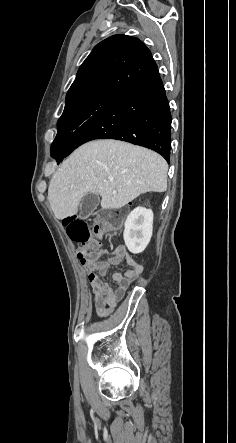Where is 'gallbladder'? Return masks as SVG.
Here are the masks:
<instances>
[{
	"mask_svg": "<svg viewBox=\"0 0 236 443\" xmlns=\"http://www.w3.org/2000/svg\"><path fill=\"white\" fill-rule=\"evenodd\" d=\"M100 202V197L96 193H87L80 204V216L81 218L89 217L93 211L97 208Z\"/></svg>",
	"mask_w": 236,
	"mask_h": 443,
	"instance_id": "gallbladder-1",
	"label": "gallbladder"
}]
</instances>
